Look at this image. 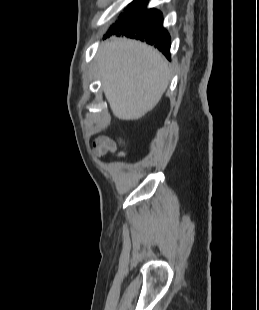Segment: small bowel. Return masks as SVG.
<instances>
[{
    "label": "small bowel",
    "mask_w": 259,
    "mask_h": 310,
    "mask_svg": "<svg viewBox=\"0 0 259 310\" xmlns=\"http://www.w3.org/2000/svg\"><path fill=\"white\" fill-rule=\"evenodd\" d=\"M114 145L104 137L97 138L93 145V155L95 157H101L108 152L114 151Z\"/></svg>",
    "instance_id": "1"
}]
</instances>
